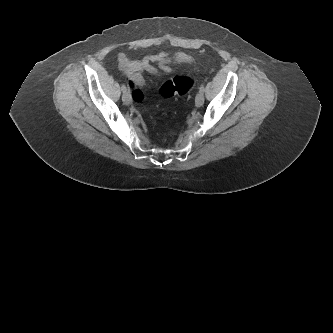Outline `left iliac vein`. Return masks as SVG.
I'll return each mask as SVG.
<instances>
[{
  "label": "left iliac vein",
  "mask_w": 333,
  "mask_h": 333,
  "mask_svg": "<svg viewBox=\"0 0 333 333\" xmlns=\"http://www.w3.org/2000/svg\"><path fill=\"white\" fill-rule=\"evenodd\" d=\"M204 103V95L202 92H199L197 95H196V98H195V104L197 107H200L202 106Z\"/></svg>",
  "instance_id": "left-iliac-vein-1"
}]
</instances>
